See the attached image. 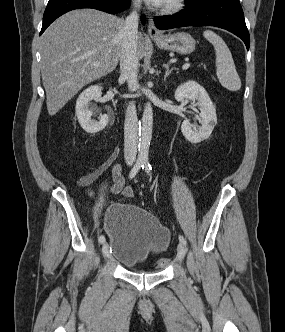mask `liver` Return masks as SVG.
Masks as SVG:
<instances>
[{
	"mask_svg": "<svg viewBox=\"0 0 285 332\" xmlns=\"http://www.w3.org/2000/svg\"><path fill=\"white\" fill-rule=\"evenodd\" d=\"M124 22L122 18L95 9H78L56 19L43 33L41 75L50 116L85 85L116 68ZM146 45L143 34L138 33V59L144 57Z\"/></svg>",
	"mask_w": 285,
	"mask_h": 332,
	"instance_id": "liver-1",
	"label": "liver"
}]
</instances>
